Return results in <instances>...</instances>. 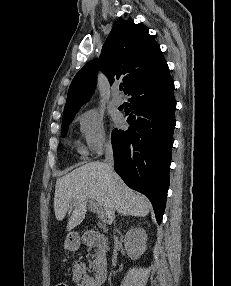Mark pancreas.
Returning a JSON list of instances; mask_svg holds the SVG:
<instances>
[{
	"label": "pancreas",
	"mask_w": 231,
	"mask_h": 286,
	"mask_svg": "<svg viewBox=\"0 0 231 286\" xmlns=\"http://www.w3.org/2000/svg\"><path fill=\"white\" fill-rule=\"evenodd\" d=\"M92 244L97 247V251L93 255L95 257L94 261L89 263V267L93 270H96L100 265L106 263L105 254L108 249L106 240L100 235H94L92 239ZM91 249V245L89 247Z\"/></svg>",
	"instance_id": "1"
}]
</instances>
